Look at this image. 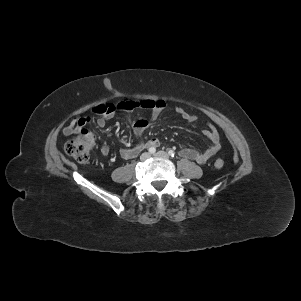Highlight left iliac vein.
<instances>
[{
    "label": "left iliac vein",
    "instance_id": "left-iliac-vein-1",
    "mask_svg": "<svg viewBox=\"0 0 301 301\" xmlns=\"http://www.w3.org/2000/svg\"><path fill=\"white\" fill-rule=\"evenodd\" d=\"M154 155L156 157L162 158V159H168L169 158V155L166 152H164V151H158Z\"/></svg>",
    "mask_w": 301,
    "mask_h": 301
}]
</instances>
